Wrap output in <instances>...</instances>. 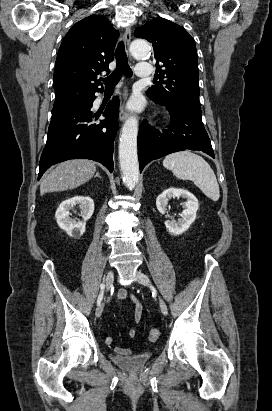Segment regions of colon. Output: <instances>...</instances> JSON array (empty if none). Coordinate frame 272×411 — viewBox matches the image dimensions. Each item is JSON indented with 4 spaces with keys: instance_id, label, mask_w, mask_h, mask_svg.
<instances>
[{
    "instance_id": "5ec220e1",
    "label": "colon",
    "mask_w": 272,
    "mask_h": 411,
    "mask_svg": "<svg viewBox=\"0 0 272 411\" xmlns=\"http://www.w3.org/2000/svg\"><path fill=\"white\" fill-rule=\"evenodd\" d=\"M160 336V332L158 329H151L148 333V340L149 341H157Z\"/></svg>"
}]
</instances>
